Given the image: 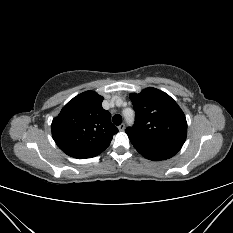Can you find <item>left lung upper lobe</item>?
Wrapping results in <instances>:
<instances>
[{
  "label": "left lung upper lobe",
  "instance_id": "1",
  "mask_svg": "<svg viewBox=\"0 0 233 233\" xmlns=\"http://www.w3.org/2000/svg\"><path fill=\"white\" fill-rule=\"evenodd\" d=\"M135 110V124L126 133L145 158L166 160L183 146L187 122L178 104L165 92L147 88L130 94Z\"/></svg>",
  "mask_w": 233,
  "mask_h": 233
}]
</instances>
